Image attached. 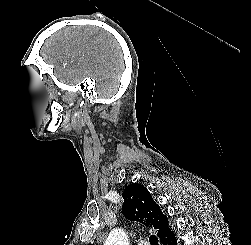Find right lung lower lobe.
Segmentation results:
<instances>
[{"instance_id": "right-lung-lower-lobe-1", "label": "right lung lower lobe", "mask_w": 251, "mask_h": 245, "mask_svg": "<svg viewBox=\"0 0 251 245\" xmlns=\"http://www.w3.org/2000/svg\"><path fill=\"white\" fill-rule=\"evenodd\" d=\"M162 245H176L175 234L172 232L168 237L160 241Z\"/></svg>"}]
</instances>
